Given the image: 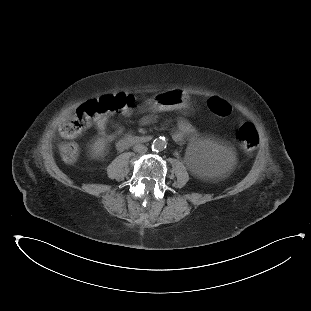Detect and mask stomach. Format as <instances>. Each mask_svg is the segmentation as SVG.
<instances>
[{"instance_id":"stomach-1","label":"stomach","mask_w":311,"mask_h":311,"mask_svg":"<svg viewBox=\"0 0 311 311\" xmlns=\"http://www.w3.org/2000/svg\"><path fill=\"white\" fill-rule=\"evenodd\" d=\"M151 104L158 109H176L184 106V100L181 94H177L175 96H168L164 93H158L151 100Z\"/></svg>"}]
</instances>
